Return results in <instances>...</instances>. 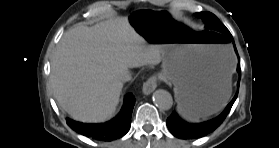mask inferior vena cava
I'll return each instance as SVG.
<instances>
[{
  "instance_id": "obj_1",
  "label": "inferior vena cava",
  "mask_w": 279,
  "mask_h": 148,
  "mask_svg": "<svg viewBox=\"0 0 279 148\" xmlns=\"http://www.w3.org/2000/svg\"><path fill=\"white\" fill-rule=\"evenodd\" d=\"M119 79L122 82H128L132 80V74L129 71H124L121 73V75L119 76Z\"/></svg>"
}]
</instances>
